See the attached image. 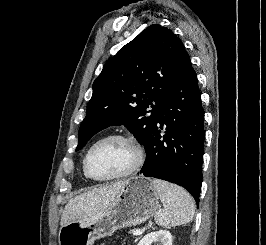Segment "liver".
Instances as JSON below:
<instances>
[{"label":"liver","instance_id":"obj_1","mask_svg":"<svg viewBox=\"0 0 266 245\" xmlns=\"http://www.w3.org/2000/svg\"><path fill=\"white\" fill-rule=\"evenodd\" d=\"M124 185L125 181L100 185L98 189L93 187L91 191L70 199L61 217V227L67 223H72V221H77V219H87V217H94L101 211H105L111 207V203L115 201Z\"/></svg>","mask_w":266,"mask_h":245}]
</instances>
